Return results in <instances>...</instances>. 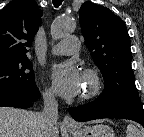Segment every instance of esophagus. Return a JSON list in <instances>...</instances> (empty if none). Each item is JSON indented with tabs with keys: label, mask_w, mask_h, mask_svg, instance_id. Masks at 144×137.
I'll list each match as a JSON object with an SVG mask.
<instances>
[{
	"label": "esophagus",
	"mask_w": 144,
	"mask_h": 137,
	"mask_svg": "<svg viewBox=\"0 0 144 137\" xmlns=\"http://www.w3.org/2000/svg\"><path fill=\"white\" fill-rule=\"evenodd\" d=\"M62 125L65 129L68 130L77 129L79 127L77 122L71 116H65Z\"/></svg>",
	"instance_id": "1"
}]
</instances>
